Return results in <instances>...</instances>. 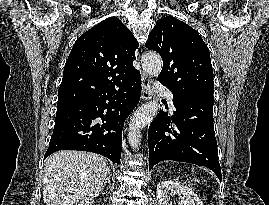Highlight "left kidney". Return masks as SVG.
Returning a JSON list of instances; mask_svg holds the SVG:
<instances>
[{"label":"left kidney","mask_w":269,"mask_h":205,"mask_svg":"<svg viewBox=\"0 0 269 205\" xmlns=\"http://www.w3.org/2000/svg\"><path fill=\"white\" fill-rule=\"evenodd\" d=\"M156 193L159 205H172L169 198L170 195L175 193L182 194L178 205H203L201 199L192 189L171 180L161 181L157 185Z\"/></svg>","instance_id":"obj_1"}]
</instances>
